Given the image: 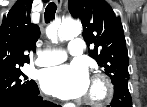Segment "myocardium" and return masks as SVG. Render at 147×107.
<instances>
[{"mask_svg": "<svg viewBox=\"0 0 147 107\" xmlns=\"http://www.w3.org/2000/svg\"><path fill=\"white\" fill-rule=\"evenodd\" d=\"M91 86L94 93H89L85 102L91 105H101L109 102L113 95L112 83L104 76H96L92 79Z\"/></svg>", "mask_w": 147, "mask_h": 107, "instance_id": "obj_1", "label": "myocardium"}]
</instances>
